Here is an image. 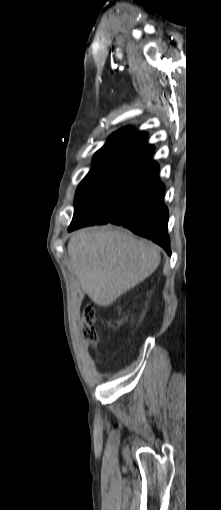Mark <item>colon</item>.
<instances>
[{
  "label": "colon",
  "mask_w": 221,
  "mask_h": 510,
  "mask_svg": "<svg viewBox=\"0 0 221 510\" xmlns=\"http://www.w3.org/2000/svg\"><path fill=\"white\" fill-rule=\"evenodd\" d=\"M82 318L85 323L83 336L90 341L92 346L96 345L97 333L93 327L95 323V310L91 306H87L82 311Z\"/></svg>",
  "instance_id": "obj_1"
}]
</instances>
